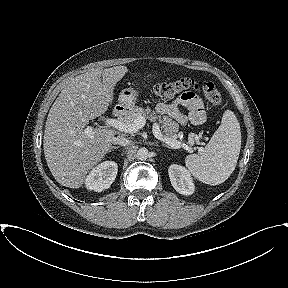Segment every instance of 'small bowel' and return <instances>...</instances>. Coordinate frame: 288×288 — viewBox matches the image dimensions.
Wrapping results in <instances>:
<instances>
[{
	"label": "small bowel",
	"mask_w": 288,
	"mask_h": 288,
	"mask_svg": "<svg viewBox=\"0 0 288 288\" xmlns=\"http://www.w3.org/2000/svg\"><path fill=\"white\" fill-rule=\"evenodd\" d=\"M181 107L189 110L188 117L181 112ZM156 110L160 114L168 115L180 124H185L190 120L193 124L199 125L206 118L204 105L199 96L193 92H187L171 103H160Z\"/></svg>",
	"instance_id": "1"
}]
</instances>
